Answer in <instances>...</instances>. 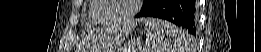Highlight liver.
Returning a JSON list of instances; mask_svg holds the SVG:
<instances>
[{"mask_svg":"<svg viewBox=\"0 0 261 52\" xmlns=\"http://www.w3.org/2000/svg\"><path fill=\"white\" fill-rule=\"evenodd\" d=\"M130 28H127V29H125L124 31H125V33H129L130 32Z\"/></svg>","mask_w":261,"mask_h":52,"instance_id":"1","label":"liver"}]
</instances>
